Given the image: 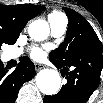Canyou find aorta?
Returning <instances> with one entry per match:
<instances>
[{
  "label": "aorta",
  "mask_w": 103,
  "mask_h": 103,
  "mask_svg": "<svg viewBox=\"0 0 103 103\" xmlns=\"http://www.w3.org/2000/svg\"><path fill=\"white\" fill-rule=\"evenodd\" d=\"M28 33L34 40H44L49 35V25L45 20H34L28 27ZM60 84L61 78L58 72L53 69L41 70L36 75V85L45 95L56 94L60 88Z\"/></svg>",
  "instance_id": "obj_1"
}]
</instances>
